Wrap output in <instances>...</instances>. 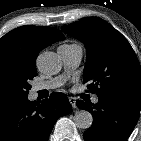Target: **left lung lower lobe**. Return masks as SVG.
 <instances>
[{"instance_id": "obj_1", "label": "left lung lower lobe", "mask_w": 141, "mask_h": 141, "mask_svg": "<svg viewBox=\"0 0 141 141\" xmlns=\"http://www.w3.org/2000/svg\"><path fill=\"white\" fill-rule=\"evenodd\" d=\"M77 106L93 115L85 141H126L137 124L141 99L98 96V103L77 101Z\"/></svg>"}]
</instances>
